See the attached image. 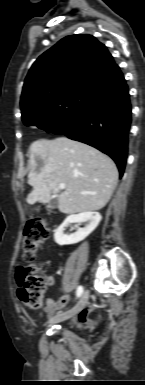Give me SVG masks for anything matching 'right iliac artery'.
Returning <instances> with one entry per match:
<instances>
[{"mask_svg":"<svg viewBox=\"0 0 145 385\" xmlns=\"http://www.w3.org/2000/svg\"><path fill=\"white\" fill-rule=\"evenodd\" d=\"M82 293H83V287H82V286H79V287L77 288V291H76L77 297H80Z\"/></svg>","mask_w":145,"mask_h":385,"instance_id":"obj_1","label":"right iliac artery"}]
</instances>
